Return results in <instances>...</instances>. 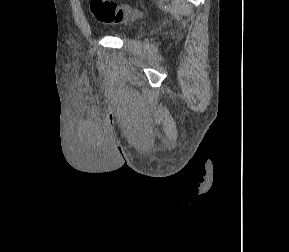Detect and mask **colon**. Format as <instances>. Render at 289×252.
<instances>
[{
  "label": "colon",
  "instance_id": "5ec220e1",
  "mask_svg": "<svg viewBox=\"0 0 289 252\" xmlns=\"http://www.w3.org/2000/svg\"><path fill=\"white\" fill-rule=\"evenodd\" d=\"M89 9L93 17L104 24H121L136 15L129 6L110 0H89Z\"/></svg>",
  "mask_w": 289,
  "mask_h": 252
}]
</instances>
